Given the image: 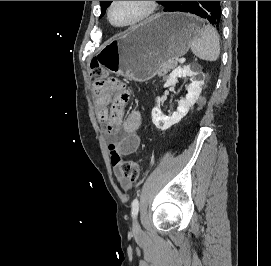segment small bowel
Returning <instances> with one entry per match:
<instances>
[{"label":"small bowel","instance_id":"c3829d8e","mask_svg":"<svg viewBox=\"0 0 271 266\" xmlns=\"http://www.w3.org/2000/svg\"><path fill=\"white\" fill-rule=\"evenodd\" d=\"M95 109L98 119L105 124V132L109 137L116 136L120 131L124 133V139L118 145V151L133 152L139 145L138 131L142 117L138 110H132L125 115V107L129 98H121L112 91H101L94 88ZM115 174L123 189L131 187V181L120 176L118 169Z\"/></svg>","mask_w":271,"mask_h":266}]
</instances>
